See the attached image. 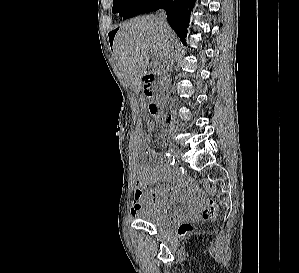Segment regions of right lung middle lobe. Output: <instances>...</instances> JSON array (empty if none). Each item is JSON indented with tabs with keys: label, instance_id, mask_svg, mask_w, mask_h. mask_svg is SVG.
Instances as JSON below:
<instances>
[{
	"label": "right lung middle lobe",
	"instance_id": "right-lung-middle-lobe-1",
	"mask_svg": "<svg viewBox=\"0 0 299 273\" xmlns=\"http://www.w3.org/2000/svg\"><path fill=\"white\" fill-rule=\"evenodd\" d=\"M137 0H113V13H119L123 16L126 11L135 3Z\"/></svg>",
	"mask_w": 299,
	"mask_h": 273
}]
</instances>
